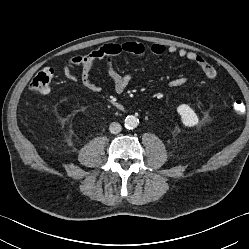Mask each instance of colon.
Wrapping results in <instances>:
<instances>
[{
    "label": "colon",
    "instance_id": "5ec220e1",
    "mask_svg": "<svg viewBox=\"0 0 249 249\" xmlns=\"http://www.w3.org/2000/svg\"><path fill=\"white\" fill-rule=\"evenodd\" d=\"M55 72L52 68H44L39 71L30 82V90L34 93L45 95L50 92L51 84ZM232 109L235 114H241L244 111V104L240 100H235L232 104Z\"/></svg>",
    "mask_w": 249,
    "mask_h": 249
}]
</instances>
